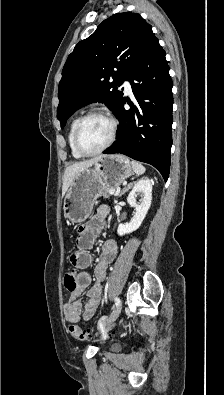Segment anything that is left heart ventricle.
Returning <instances> with one entry per match:
<instances>
[{
  "label": "left heart ventricle",
  "mask_w": 224,
  "mask_h": 395,
  "mask_svg": "<svg viewBox=\"0 0 224 395\" xmlns=\"http://www.w3.org/2000/svg\"><path fill=\"white\" fill-rule=\"evenodd\" d=\"M110 133V123L106 119L99 116L90 117L81 126L80 145L85 151H95L107 142Z\"/></svg>",
  "instance_id": "1"
}]
</instances>
